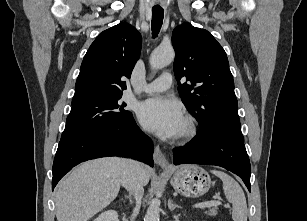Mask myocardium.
I'll return each instance as SVG.
<instances>
[{
	"instance_id": "f54148a6",
	"label": "myocardium",
	"mask_w": 307,
	"mask_h": 221,
	"mask_svg": "<svg viewBox=\"0 0 307 221\" xmlns=\"http://www.w3.org/2000/svg\"><path fill=\"white\" fill-rule=\"evenodd\" d=\"M185 127L183 131L178 135V140L186 142L193 139L198 132L196 120L193 116L187 115L184 119Z\"/></svg>"
}]
</instances>
